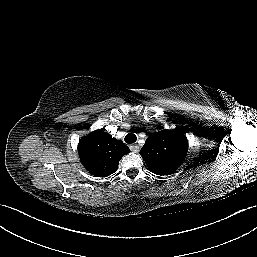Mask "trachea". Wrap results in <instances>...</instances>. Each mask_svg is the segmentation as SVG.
Wrapping results in <instances>:
<instances>
[{"instance_id": "3493384b", "label": "trachea", "mask_w": 257, "mask_h": 257, "mask_svg": "<svg viewBox=\"0 0 257 257\" xmlns=\"http://www.w3.org/2000/svg\"><path fill=\"white\" fill-rule=\"evenodd\" d=\"M136 140H137V137L133 133H128L125 136V142L128 143V144L134 143V142H136Z\"/></svg>"}]
</instances>
